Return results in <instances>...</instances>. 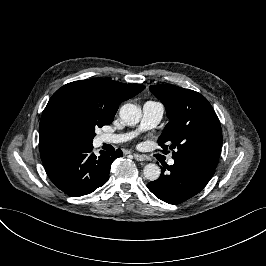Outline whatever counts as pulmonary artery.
Returning <instances> with one entry per match:
<instances>
[{
  "mask_svg": "<svg viewBox=\"0 0 266 266\" xmlns=\"http://www.w3.org/2000/svg\"><path fill=\"white\" fill-rule=\"evenodd\" d=\"M164 105L159 101L149 100L143 104L142 107V120L140 130H148L156 127L161 121L164 114ZM136 133L109 135L105 134L101 140L105 143H121L132 138ZM169 165L174 164V160L168 161Z\"/></svg>",
  "mask_w": 266,
  "mask_h": 266,
  "instance_id": "obj_1",
  "label": "pulmonary artery"
}]
</instances>
